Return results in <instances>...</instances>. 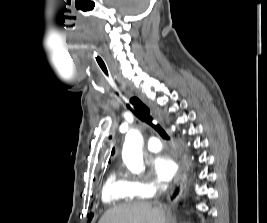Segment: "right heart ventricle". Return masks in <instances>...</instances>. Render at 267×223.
Returning <instances> with one entry per match:
<instances>
[{"instance_id": "e07e8e85", "label": "right heart ventricle", "mask_w": 267, "mask_h": 223, "mask_svg": "<svg viewBox=\"0 0 267 223\" xmlns=\"http://www.w3.org/2000/svg\"><path fill=\"white\" fill-rule=\"evenodd\" d=\"M135 196L131 180L121 171H113L108 176L102 190V200L109 205L133 199Z\"/></svg>"}]
</instances>
